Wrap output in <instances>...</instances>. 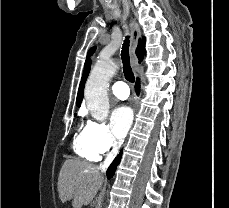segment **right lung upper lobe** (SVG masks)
<instances>
[{"label": "right lung upper lobe", "mask_w": 229, "mask_h": 208, "mask_svg": "<svg viewBox=\"0 0 229 208\" xmlns=\"http://www.w3.org/2000/svg\"><path fill=\"white\" fill-rule=\"evenodd\" d=\"M136 54H137L139 60L142 61V59H143V51H142L141 41L140 40H139L138 48L136 49ZM90 66H91V61H89L86 64L84 72H83V75H82V79H81V82H80L79 91H78V95H77V102H76L78 106H80L81 101L83 99L84 85H85V82L87 80V77H88V74H89V71H90ZM75 116H76V114H75Z\"/></svg>", "instance_id": "obj_1"}]
</instances>
